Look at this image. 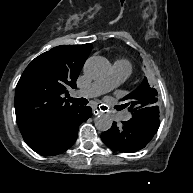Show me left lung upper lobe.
Here are the masks:
<instances>
[{
	"instance_id": "obj_1",
	"label": "left lung upper lobe",
	"mask_w": 193,
	"mask_h": 193,
	"mask_svg": "<svg viewBox=\"0 0 193 193\" xmlns=\"http://www.w3.org/2000/svg\"><path fill=\"white\" fill-rule=\"evenodd\" d=\"M122 100L127 102L124 106H129V111L133 113L142 108L157 106L158 94L149 85L147 78H145L139 88L125 96Z\"/></svg>"
}]
</instances>
